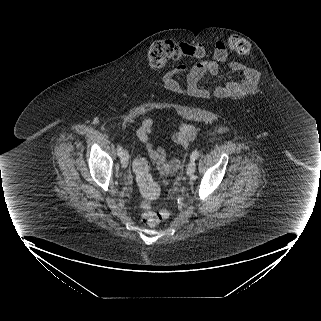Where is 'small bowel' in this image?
Returning <instances> with one entry per match:
<instances>
[{"instance_id":"c3829d8e","label":"small bowel","mask_w":321,"mask_h":321,"mask_svg":"<svg viewBox=\"0 0 321 321\" xmlns=\"http://www.w3.org/2000/svg\"><path fill=\"white\" fill-rule=\"evenodd\" d=\"M228 52L223 42L216 43L212 59L195 64L189 70L186 65L178 66L164 76L166 85L172 90H180L182 85L178 82L177 76L186 73L184 88L188 95L196 99L207 97L222 98L223 96L244 97L249 92H253L259 87L260 73L251 70L240 62L231 64V71L242 78L237 83H228L227 85L215 86L213 91L207 92L204 88H199L197 82L206 74H216L223 65H228ZM154 129V121L151 118H145L136 131L137 138L145 146L149 157L157 165L162 175H168L179 170L181 161L178 158L167 159L166 152L161 147H155L150 137ZM197 130L189 124H181L173 134V142L180 147H187L190 141L196 136Z\"/></svg>"}]
</instances>
